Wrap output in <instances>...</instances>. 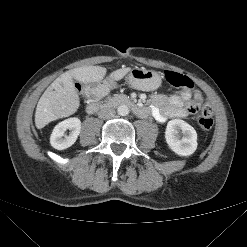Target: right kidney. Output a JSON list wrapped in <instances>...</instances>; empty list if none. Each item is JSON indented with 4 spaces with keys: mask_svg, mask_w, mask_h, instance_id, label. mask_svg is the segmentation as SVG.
Masks as SVG:
<instances>
[{
    "mask_svg": "<svg viewBox=\"0 0 247 247\" xmlns=\"http://www.w3.org/2000/svg\"><path fill=\"white\" fill-rule=\"evenodd\" d=\"M70 130V134L66 135L65 132ZM81 131V121L79 118L72 117L65 119L58 123L50 136V144L57 150H64L72 146Z\"/></svg>",
    "mask_w": 247,
    "mask_h": 247,
    "instance_id": "obj_1",
    "label": "right kidney"
}]
</instances>
